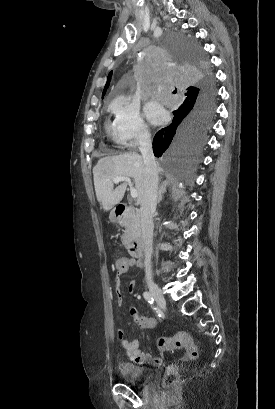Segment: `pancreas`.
<instances>
[{
	"instance_id": "cf45deb5",
	"label": "pancreas",
	"mask_w": 275,
	"mask_h": 409,
	"mask_svg": "<svg viewBox=\"0 0 275 409\" xmlns=\"http://www.w3.org/2000/svg\"><path fill=\"white\" fill-rule=\"evenodd\" d=\"M120 225L125 229L121 237L122 245L128 249L134 239L139 237L141 233L139 211H136L134 207H128L120 221Z\"/></svg>"
}]
</instances>
